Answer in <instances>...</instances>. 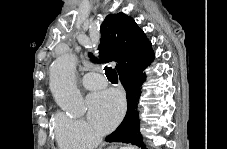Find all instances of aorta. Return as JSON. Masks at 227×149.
Wrapping results in <instances>:
<instances>
[{"instance_id": "aorta-1", "label": "aorta", "mask_w": 227, "mask_h": 149, "mask_svg": "<svg viewBox=\"0 0 227 149\" xmlns=\"http://www.w3.org/2000/svg\"><path fill=\"white\" fill-rule=\"evenodd\" d=\"M50 88L56 103L68 115L82 116L84 102L75 84V61L71 55L57 59L50 67Z\"/></svg>"}]
</instances>
